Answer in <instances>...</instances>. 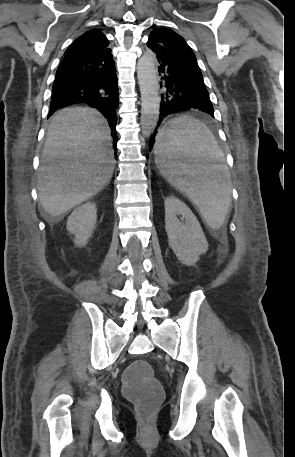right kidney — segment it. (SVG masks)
Here are the masks:
<instances>
[{
  "instance_id": "right-kidney-1",
  "label": "right kidney",
  "mask_w": 295,
  "mask_h": 457,
  "mask_svg": "<svg viewBox=\"0 0 295 457\" xmlns=\"http://www.w3.org/2000/svg\"><path fill=\"white\" fill-rule=\"evenodd\" d=\"M97 221V209L93 202H88L75 209L67 220V230L75 234L74 243L85 246L91 237Z\"/></svg>"
}]
</instances>
